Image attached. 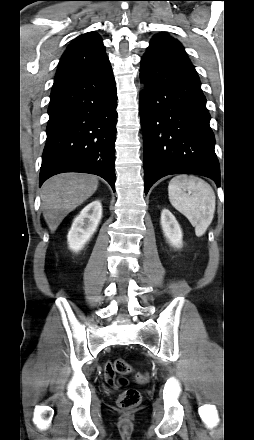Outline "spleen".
Segmentation results:
<instances>
[{
	"mask_svg": "<svg viewBox=\"0 0 254 440\" xmlns=\"http://www.w3.org/2000/svg\"><path fill=\"white\" fill-rule=\"evenodd\" d=\"M168 195L173 207L195 228L196 236L204 235L215 213L213 188L199 177L179 175L170 181Z\"/></svg>",
	"mask_w": 254,
	"mask_h": 440,
	"instance_id": "spleen-1",
	"label": "spleen"
}]
</instances>
